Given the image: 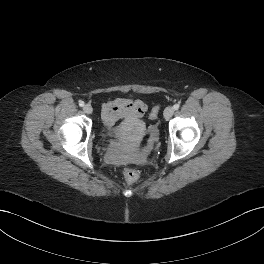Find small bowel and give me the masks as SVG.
<instances>
[{
    "label": "small bowel",
    "instance_id": "small-bowel-1",
    "mask_svg": "<svg viewBox=\"0 0 264 264\" xmlns=\"http://www.w3.org/2000/svg\"><path fill=\"white\" fill-rule=\"evenodd\" d=\"M147 104L142 100L116 98L102 105V120L110 128L116 127L120 120L135 121L145 115Z\"/></svg>",
    "mask_w": 264,
    "mask_h": 264
}]
</instances>
